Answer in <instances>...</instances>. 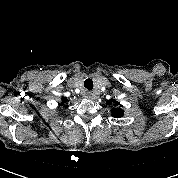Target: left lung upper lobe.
Returning <instances> with one entry per match:
<instances>
[{
	"label": "left lung upper lobe",
	"instance_id": "1",
	"mask_svg": "<svg viewBox=\"0 0 178 178\" xmlns=\"http://www.w3.org/2000/svg\"><path fill=\"white\" fill-rule=\"evenodd\" d=\"M115 102L116 105L119 104V102H116L115 100H109L107 101V104ZM111 113L113 117H122L123 116V110L120 107H114L111 109Z\"/></svg>",
	"mask_w": 178,
	"mask_h": 178
}]
</instances>
